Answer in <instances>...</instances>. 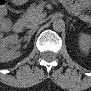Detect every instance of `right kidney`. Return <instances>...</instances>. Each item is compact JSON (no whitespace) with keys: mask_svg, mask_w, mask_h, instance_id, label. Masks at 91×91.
<instances>
[{"mask_svg":"<svg viewBox=\"0 0 91 91\" xmlns=\"http://www.w3.org/2000/svg\"><path fill=\"white\" fill-rule=\"evenodd\" d=\"M18 38L19 36L17 34H14V35L5 37L0 41V61L1 62H8L10 60H13L21 56L20 52H16L9 49L10 45L18 43Z\"/></svg>","mask_w":91,"mask_h":91,"instance_id":"1","label":"right kidney"}]
</instances>
